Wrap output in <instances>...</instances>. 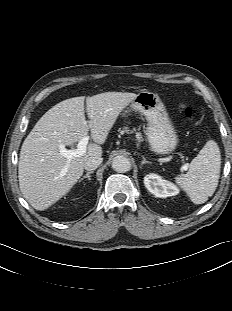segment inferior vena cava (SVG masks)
I'll return each mask as SVG.
<instances>
[{
  "label": "inferior vena cava",
  "mask_w": 232,
  "mask_h": 311,
  "mask_svg": "<svg viewBox=\"0 0 232 311\" xmlns=\"http://www.w3.org/2000/svg\"><path fill=\"white\" fill-rule=\"evenodd\" d=\"M103 161L101 156L90 157L84 163V168L88 171L95 170Z\"/></svg>",
  "instance_id": "1"
}]
</instances>
